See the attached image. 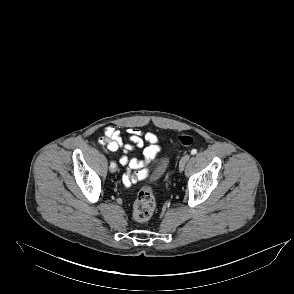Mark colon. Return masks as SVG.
<instances>
[{"instance_id":"1","label":"colon","mask_w":294,"mask_h":294,"mask_svg":"<svg viewBox=\"0 0 294 294\" xmlns=\"http://www.w3.org/2000/svg\"><path fill=\"white\" fill-rule=\"evenodd\" d=\"M181 145L188 147L194 139L188 135L178 137ZM156 208L154 194L149 187H143L137 194L133 205V217L138 223H145L151 219Z\"/></svg>"}]
</instances>
